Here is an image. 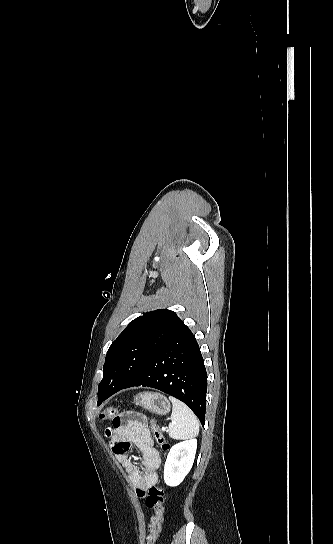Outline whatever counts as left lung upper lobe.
<instances>
[{
  "label": "left lung upper lobe",
  "mask_w": 333,
  "mask_h": 544,
  "mask_svg": "<svg viewBox=\"0 0 333 544\" xmlns=\"http://www.w3.org/2000/svg\"><path fill=\"white\" fill-rule=\"evenodd\" d=\"M183 324L168 309L150 311L132 320L107 351L98 393L119 390L132 381Z\"/></svg>",
  "instance_id": "left-lung-upper-lobe-1"
}]
</instances>
